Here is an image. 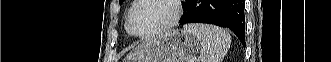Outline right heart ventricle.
<instances>
[{"label": "right heart ventricle", "mask_w": 331, "mask_h": 62, "mask_svg": "<svg viewBox=\"0 0 331 62\" xmlns=\"http://www.w3.org/2000/svg\"><path fill=\"white\" fill-rule=\"evenodd\" d=\"M126 30H127V32H129L128 29H127V26H126Z\"/></svg>", "instance_id": "1"}]
</instances>
